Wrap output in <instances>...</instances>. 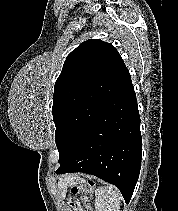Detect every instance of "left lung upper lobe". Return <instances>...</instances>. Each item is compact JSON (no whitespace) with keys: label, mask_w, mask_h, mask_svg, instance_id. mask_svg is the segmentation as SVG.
Wrapping results in <instances>:
<instances>
[{"label":"left lung upper lobe","mask_w":178,"mask_h":211,"mask_svg":"<svg viewBox=\"0 0 178 211\" xmlns=\"http://www.w3.org/2000/svg\"><path fill=\"white\" fill-rule=\"evenodd\" d=\"M126 71L114 46L99 39L81 43L67 56L52 106L60 164L95 125Z\"/></svg>","instance_id":"1"}]
</instances>
